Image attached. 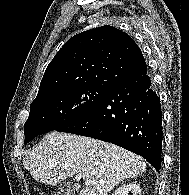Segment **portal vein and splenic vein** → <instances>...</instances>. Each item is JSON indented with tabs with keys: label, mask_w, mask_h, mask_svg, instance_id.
<instances>
[{
	"label": "portal vein and splenic vein",
	"mask_w": 189,
	"mask_h": 195,
	"mask_svg": "<svg viewBox=\"0 0 189 195\" xmlns=\"http://www.w3.org/2000/svg\"><path fill=\"white\" fill-rule=\"evenodd\" d=\"M75 179H76L77 181H79V180L81 179V176H80V175H76V176H75ZM90 183H92V182H91V181H86V182H85L86 185H89Z\"/></svg>",
	"instance_id": "18ae733b"
}]
</instances>
